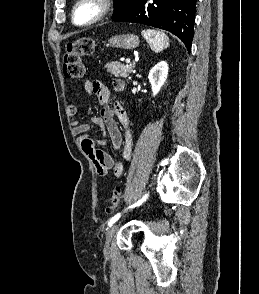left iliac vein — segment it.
Here are the masks:
<instances>
[{"label":"left iliac vein","instance_id":"1","mask_svg":"<svg viewBox=\"0 0 259 294\" xmlns=\"http://www.w3.org/2000/svg\"><path fill=\"white\" fill-rule=\"evenodd\" d=\"M119 224H113L106 232V237H105V244H104V253L109 254L110 253V245L111 241L114 237V234L118 230Z\"/></svg>","mask_w":259,"mask_h":294}]
</instances>
